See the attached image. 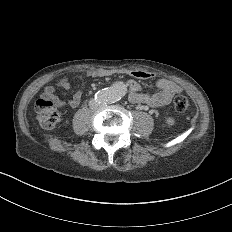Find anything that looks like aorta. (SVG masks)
<instances>
[{
    "mask_svg": "<svg viewBox=\"0 0 232 232\" xmlns=\"http://www.w3.org/2000/svg\"><path fill=\"white\" fill-rule=\"evenodd\" d=\"M126 85L123 82H116L101 93L106 101H119L126 94Z\"/></svg>",
    "mask_w": 232,
    "mask_h": 232,
    "instance_id": "obj_1",
    "label": "aorta"
}]
</instances>
